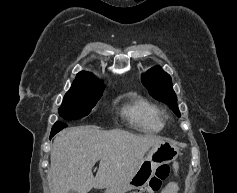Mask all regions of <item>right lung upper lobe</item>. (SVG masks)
Here are the masks:
<instances>
[{
    "instance_id": "right-lung-upper-lobe-1",
    "label": "right lung upper lobe",
    "mask_w": 237,
    "mask_h": 193,
    "mask_svg": "<svg viewBox=\"0 0 237 193\" xmlns=\"http://www.w3.org/2000/svg\"><path fill=\"white\" fill-rule=\"evenodd\" d=\"M72 87L87 90L104 89V85L100 83L93 74L85 71H81L77 74Z\"/></svg>"
}]
</instances>
